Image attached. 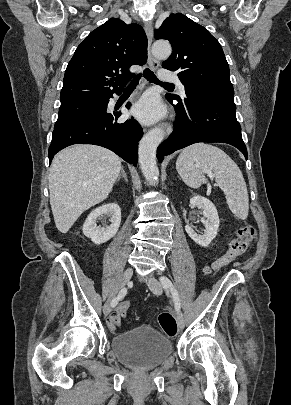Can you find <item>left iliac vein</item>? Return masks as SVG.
I'll return each mask as SVG.
<instances>
[{
    "mask_svg": "<svg viewBox=\"0 0 291 405\" xmlns=\"http://www.w3.org/2000/svg\"><path fill=\"white\" fill-rule=\"evenodd\" d=\"M149 289L156 295H161L163 292L162 284L155 279L153 276H149L146 280ZM177 324L179 329H183L185 325V320L182 312L177 314Z\"/></svg>",
    "mask_w": 291,
    "mask_h": 405,
    "instance_id": "left-iliac-vein-1",
    "label": "left iliac vein"
}]
</instances>
